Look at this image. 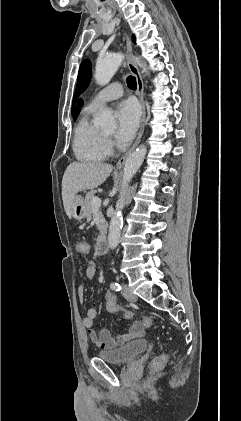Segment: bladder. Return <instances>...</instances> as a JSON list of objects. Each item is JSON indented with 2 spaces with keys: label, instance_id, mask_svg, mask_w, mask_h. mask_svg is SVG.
<instances>
[{
  "label": "bladder",
  "instance_id": "obj_1",
  "mask_svg": "<svg viewBox=\"0 0 241 421\" xmlns=\"http://www.w3.org/2000/svg\"><path fill=\"white\" fill-rule=\"evenodd\" d=\"M148 346L149 342L146 339H138L116 349L100 351L97 356L108 363L124 365L134 361Z\"/></svg>",
  "mask_w": 241,
  "mask_h": 421
}]
</instances>
